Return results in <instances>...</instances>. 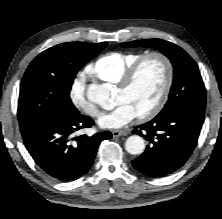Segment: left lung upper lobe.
I'll list each match as a JSON object with an SVG mask.
<instances>
[{"label":"left lung upper lobe","instance_id":"5c2ea615","mask_svg":"<svg viewBox=\"0 0 222 219\" xmlns=\"http://www.w3.org/2000/svg\"><path fill=\"white\" fill-rule=\"evenodd\" d=\"M121 46L155 48L161 50L172 62L173 85L169 100L158 115L178 107L205 112L206 90L198 66L182 48L161 39L136 40L121 43Z\"/></svg>","mask_w":222,"mask_h":219}]
</instances>
